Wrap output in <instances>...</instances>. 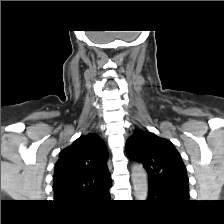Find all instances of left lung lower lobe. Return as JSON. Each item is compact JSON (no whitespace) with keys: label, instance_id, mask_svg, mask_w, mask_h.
I'll use <instances>...</instances> for the list:
<instances>
[{"label":"left lung lower lobe","instance_id":"0a47b994","mask_svg":"<svg viewBox=\"0 0 224 224\" xmlns=\"http://www.w3.org/2000/svg\"><path fill=\"white\" fill-rule=\"evenodd\" d=\"M189 191L164 189L149 185L148 200L150 202L185 203L188 202Z\"/></svg>","mask_w":224,"mask_h":224}]
</instances>
